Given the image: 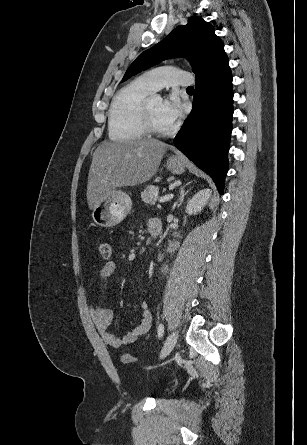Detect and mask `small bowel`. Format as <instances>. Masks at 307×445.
I'll return each mask as SVG.
<instances>
[{"label": "small bowel", "mask_w": 307, "mask_h": 445, "mask_svg": "<svg viewBox=\"0 0 307 445\" xmlns=\"http://www.w3.org/2000/svg\"><path fill=\"white\" fill-rule=\"evenodd\" d=\"M149 231L151 229H158L161 231V223L158 219H151L148 223ZM116 271V264L114 261H107L100 269V278L103 280L111 277ZM141 321L133 331L127 332L121 336H116L109 332V326L113 320V311L102 307L99 304H93L90 307V315L93 322L100 333L102 340L107 345L119 348L135 342L141 336L149 332L152 327V313L149 304L146 301L140 303Z\"/></svg>", "instance_id": "small-bowel-1"}]
</instances>
